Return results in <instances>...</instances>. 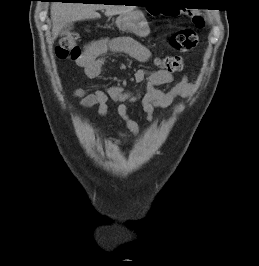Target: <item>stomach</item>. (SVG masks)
I'll list each match as a JSON object with an SVG mask.
<instances>
[{
	"instance_id": "0dacf381",
	"label": "stomach",
	"mask_w": 259,
	"mask_h": 266,
	"mask_svg": "<svg viewBox=\"0 0 259 266\" xmlns=\"http://www.w3.org/2000/svg\"><path fill=\"white\" fill-rule=\"evenodd\" d=\"M116 25L121 31H130L138 36H146L149 33L145 18L137 11L131 10L120 14Z\"/></svg>"
}]
</instances>
